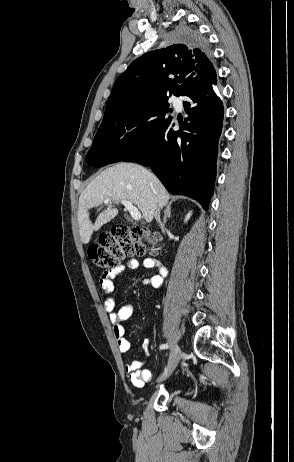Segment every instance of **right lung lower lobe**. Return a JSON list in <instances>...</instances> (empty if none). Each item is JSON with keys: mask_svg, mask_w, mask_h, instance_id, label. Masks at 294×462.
<instances>
[{"mask_svg": "<svg viewBox=\"0 0 294 462\" xmlns=\"http://www.w3.org/2000/svg\"><path fill=\"white\" fill-rule=\"evenodd\" d=\"M216 76L191 87L182 96L188 117L174 131L170 119L122 161L150 166L164 186L175 194L197 200L206 210L213 193L223 105L217 96ZM101 167L96 158L87 162Z\"/></svg>", "mask_w": 294, "mask_h": 462, "instance_id": "right-lung-lower-lobe-1", "label": "right lung lower lobe"}]
</instances>
